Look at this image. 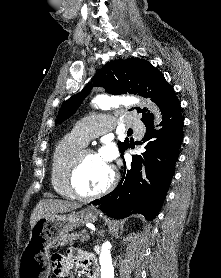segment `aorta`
<instances>
[{
  "mask_svg": "<svg viewBox=\"0 0 221 278\" xmlns=\"http://www.w3.org/2000/svg\"><path fill=\"white\" fill-rule=\"evenodd\" d=\"M95 105L100 107L101 109H107L111 106H115L118 103H123L125 105L136 104L139 102L138 99L133 97L125 98L121 101H116L112 98L107 96L99 95L93 101ZM156 112V111H155ZM157 118H159V113L156 112ZM111 246L109 242H105L102 245L101 252L99 255V261L101 265V278H114V268L112 264V257H111Z\"/></svg>",
  "mask_w": 221,
  "mask_h": 278,
  "instance_id": "1",
  "label": "aorta"
}]
</instances>
